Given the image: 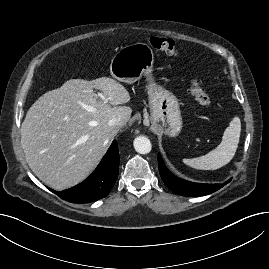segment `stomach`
<instances>
[{
  "mask_svg": "<svg viewBox=\"0 0 269 269\" xmlns=\"http://www.w3.org/2000/svg\"><path fill=\"white\" fill-rule=\"evenodd\" d=\"M153 64L152 48L146 43H135L121 48L114 55L110 73L116 80L129 84L146 76L151 123L169 137H175L182 129L179 102L169 90L154 82Z\"/></svg>",
  "mask_w": 269,
  "mask_h": 269,
  "instance_id": "stomach-1",
  "label": "stomach"
}]
</instances>
